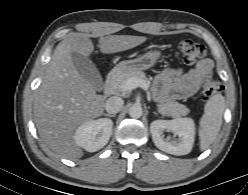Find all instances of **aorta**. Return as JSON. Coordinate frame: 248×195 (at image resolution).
I'll return each instance as SVG.
<instances>
[{
  "label": "aorta",
  "instance_id": "obj_1",
  "mask_svg": "<svg viewBox=\"0 0 248 195\" xmlns=\"http://www.w3.org/2000/svg\"><path fill=\"white\" fill-rule=\"evenodd\" d=\"M142 107L140 105H133L130 107L129 109V115L132 117V118H140L142 116Z\"/></svg>",
  "mask_w": 248,
  "mask_h": 195
}]
</instances>
